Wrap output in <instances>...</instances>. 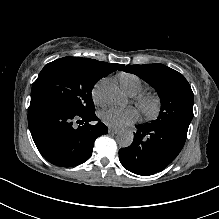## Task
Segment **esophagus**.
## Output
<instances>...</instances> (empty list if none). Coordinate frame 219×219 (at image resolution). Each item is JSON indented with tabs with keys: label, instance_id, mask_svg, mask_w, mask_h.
<instances>
[{
	"label": "esophagus",
	"instance_id": "obj_1",
	"mask_svg": "<svg viewBox=\"0 0 219 219\" xmlns=\"http://www.w3.org/2000/svg\"><path fill=\"white\" fill-rule=\"evenodd\" d=\"M109 133L116 135V134L119 133V130H118V129H115V128H110V129H109Z\"/></svg>",
	"mask_w": 219,
	"mask_h": 219
}]
</instances>
